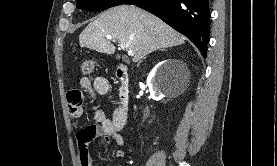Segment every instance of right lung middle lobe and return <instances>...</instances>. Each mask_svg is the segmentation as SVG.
I'll return each instance as SVG.
<instances>
[{
  "mask_svg": "<svg viewBox=\"0 0 277 166\" xmlns=\"http://www.w3.org/2000/svg\"><path fill=\"white\" fill-rule=\"evenodd\" d=\"M123 1L124 0H77V8L99 11L121 5Z\"/></svg>",
  "mask_w": 277,
  "mask_h": 166,
  "instance_id": "right-lung-middle-lobe-1",
  "label": "right lung middle lobe"
}]
</instances>
